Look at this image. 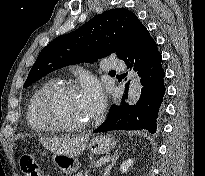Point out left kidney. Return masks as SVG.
Returning a JSON list of instances; mask_svg holds the SVG:
<instances>
[{"mask_svg": "<svg viewBox=\"0 0 205 176\" xmlns=\"http://www.w3.org/2000/svg\"><path fill=\"white\" fill-rule=\"evenodd\" d=\"M133 163H134V160H132V159H128V160L123 161V163L120 166L121 173H126L129 169V167H131L133 165Z\"/></svg>", "mask_w": 205, "mask_h": 176, "instance_id": "obj_1", "label": "left kidney"}]
</instances>
